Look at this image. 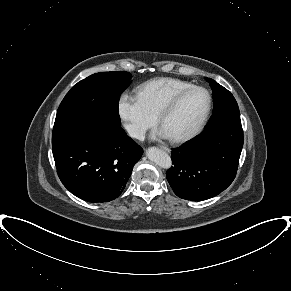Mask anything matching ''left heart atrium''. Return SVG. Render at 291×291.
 Here are the masks:
<instances>
[{
  "instance_id": "1",
  "label": "left heart atrium",
  "mask_w": 291,
  "mask_h": 291,
  "mask_svg": "<svg viewBox=\"0 0 291 291\" xmlns=\"http://www.w3.org/2000/svg\"><path fill=\"white\" fill-rule=\"evenodd\" d=\"M159 135L162 137H167V135L162 130L160 131Z\"/></svg>"
}]
</instances>
